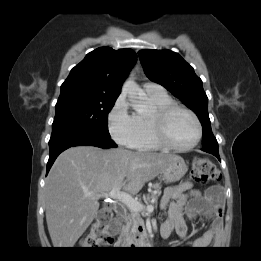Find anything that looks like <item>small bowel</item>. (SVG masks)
<instances>
[{"label": "small bowel", "instance_id": "small-bowel-1", "mask_svg": "<svg viewBox=\"0 0 261 261\" xmlns=\"http://www.w3.org/2000/svg\"><path fill=\"white\" fill-rule=\"evenodd\" d=\"M188 201H190L188 213L191 218L203 216L211 221L210 228L202 236L189 243V247L192 248H205L220 233L224 211V191L221 187L212 186L202 193L193 189L189 181L168 187L161 201L162 208H168V217L161 226L164 236L175 229L181 239H186L187 225L182 212Z\"/></svg>", "mask_w": 261, "mask_h": 261}]
</instances>
